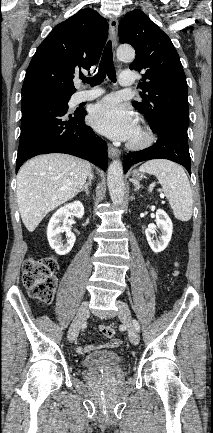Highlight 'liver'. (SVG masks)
Returning a JSON list of instances; mask_svg holds the SVG:
<instances>
[{"mask_svg": "<svg viewBox=\"0 0 213 433\" xmlns=\"http://www.w3.org/2000/svg\"><path fill=\"white\" fill-rule=\"evenodd\" d=\"M90 171L87 161L67 154L27 161L17 175V203L27 230L33 232L50 211L75 197Z\"/></svg>", "mask_w": 213, "mask_h": 433, "instance_id": "6515ba94", "label": "liver"}]
</instances>
